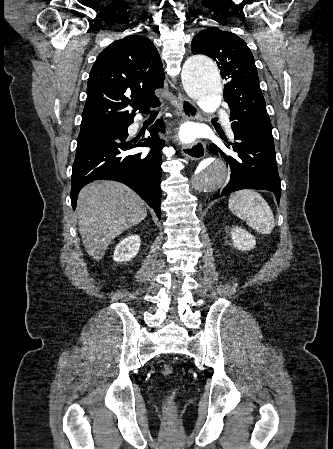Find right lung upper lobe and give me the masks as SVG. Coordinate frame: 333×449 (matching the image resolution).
<instances>
[{
  "label": "right lung upper lobe",
  "mask_w": 333,
  "mask_h": 449,
  "mask_svg": "<svg viewBox=\"0 0 333 449\" xmlns=\"http://www.w3.org/2000/svg\"><path fill=\"white\" fill-rule=\"evenodd\" d=\"M164 72L149 38L130 35L105 48L91 69L80 130L125 122L155 104ZM129 107L133 110L130 111Z\"/></svg>",
  "instance_id": "obj_1"
}]
</instances>
